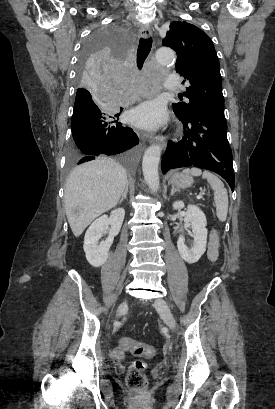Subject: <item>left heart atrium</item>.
<instances>
[{"mask_svg": "<svg viewBox=\"0 0 275 409\" xmlns=\"http://www.w3.org/2000/svg\"><path fill=\"white\" fill-rule=\"evenodd\" d=\"M129 120L133 125L153 130L163 126L167 121V117L164 108L160 104L155 101H147L130 112Z\"/></svg>", "mask_w": 275, "mask_h": 409, "instance_id": "obj_1", "label": "left heart atrium"}]
</instances>
